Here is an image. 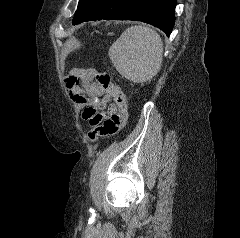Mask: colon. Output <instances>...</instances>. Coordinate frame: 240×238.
Here are the masks:
<instances>
[{"mask_svg": "<svg viewBox=\"0 0 240 238\" xmlns=\"http://www.w3.org/2000/svg\"><path fill=\"white\" fill-rule=\"evenodd\" d=\"M93 73L96 82L114 99L118 111L105 118L101 123L93 126L88 133V139L91 142H95L102 137L116 135L123 129L128 118L126 96L113 82L111 75L97 70H93Z\"/></svg>", "mask_w": 240, "mask_h": 238, "instance_id": "obj_1", "label": "colon"}]
</instances>
